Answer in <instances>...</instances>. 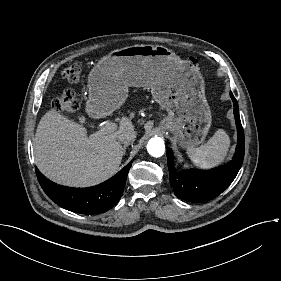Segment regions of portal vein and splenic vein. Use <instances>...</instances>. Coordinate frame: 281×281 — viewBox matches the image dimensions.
I'll return each instance as SVG.
<instances>
[{
    "label": "portal vein and splenic vein",
    "mask_w": 281,
    "mask_h": 281,
    "mask_svg": "<svg viewBox=\"0 0 281 281\" xmlns=\"http://www.w3.org/2000/svg\"><path fill=\"white\" fill-rule=\"evenodd\" d=\"M121 124L119 122H105L104 126L98 128L97 133L99 136L104 137L107 134H112L114 131H119Z\"/></svg>",
    "instance_id": "18ae733b"
}]
</instances>
